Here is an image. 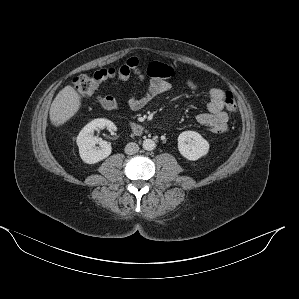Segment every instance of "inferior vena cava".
<instances>
[{
    "label": "inferior vena cava",
    "mask_w": 299,
    "mask_h": 299,
    "mask_svg": "<svg viewBox=\"0 0 299 299\" xmlns=\"http://www.w3.org/2000/svg\"><path fill=\"white\" fill-rule=\"evenodd\" d=\"M138 150H139V146L135 142H130L125 146V153L129 155L137 153Z\"/></svg>",
    "instance_id": "obj_1"
}]
</instances>
